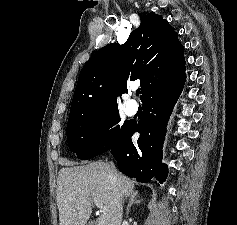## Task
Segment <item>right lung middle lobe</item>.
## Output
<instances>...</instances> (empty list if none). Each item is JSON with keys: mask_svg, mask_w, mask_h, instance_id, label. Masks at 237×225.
<instances>
[{"mask_svg": "<svg viewBox=\"0 0 237 225\" xmlns=\"http://www.w3.org/2000/svg\"><path fill=\"white\" fill-rule=\"evenodd\" d=\"M118 109H111L85 119L69 116L67 142L69 149L82 160L91 159L113 147L129 122L120 124Z\"/></svg>", "mask_w": 237, "mask_h": 225, "instance_id": "right-lung-middle-lobe-1", "label": "right lung middle lobe"}]
</instances>
